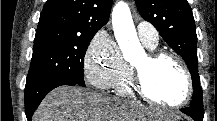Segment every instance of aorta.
Masks as SVG:
<instances>
[{"label": "aorta", "mask_w": 217, "mask_h": 121, "mask_svg": "<svg viewBox=\"0 0 217 121\" xmlns=\"http://www.w3.org/2000/svg\"><path fill=\"white\" fill-rule=\"evenodd\" d=\"M112 25L115 38L126 60H132L142 51L127 3L120 1L113 8Z\"/></svg>", "instance_id": "obj_1"}]
</instances>
